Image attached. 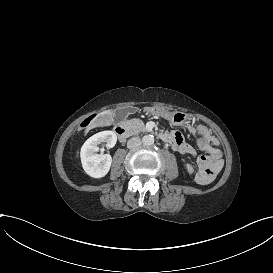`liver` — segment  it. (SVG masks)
<instances>
[{
    "label": "liver",
    "instance_id": "obj_1",
    "mask_svg": "<svg viewBox=\"0 0 273 273\" xmlns=\"http://www.w3.org/2000/svg\"><path fill=\"white\" fill-rule=\"evenodd\" d=\"M114 110H105L97 114L96 118L92 121V123L86 127L85 134L89 132L92 128L95 127H103L109 126L114 122Z\"/></svg>",
    "mask_w": 273,
    "mask_h": 273
}]
</instances>
